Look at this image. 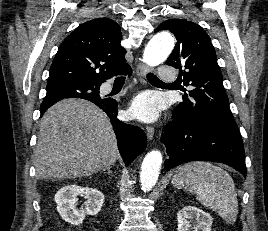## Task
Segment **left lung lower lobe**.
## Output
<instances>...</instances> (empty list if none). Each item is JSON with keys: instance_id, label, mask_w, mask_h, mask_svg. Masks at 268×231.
<instances>
[{"instance_id": "left-lung-lower-lobe-1", "label": "left lung lower lobe", "mask_w": 268, "mask_h": 231, "mask_svg": "<svg viewBox=\"0 0 268 231\" xmlns=\"http://www.w3.org/2000/svg\"><path fill=\"white\" fill-rule=\"evenodd\" d=\"M161 142L169 156L164 163L166 169L189 161L206 160L227 164L246 177L241 135L222 125L186 120L173 113V121L162 130Z\"/></svg>"}]
</instances>
